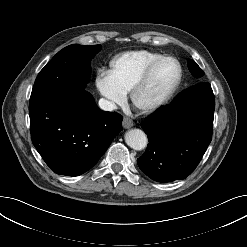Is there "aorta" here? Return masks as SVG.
I'll return each instance as SVG.
<instances>
[{
    "label": "aorta",
    "mask_w": 247,
    "mask_h": 247,
    "mask_svg": "<svg viewBox=\"0 0 247 247\" xmlns=\"http://www.w3.org/2000/svg\"><path fill=\"white\" fill-rule=\"evenodd\" d=\"M125 142L134 150H142L147 146L146 134L140 129H132L126 132Z\"/></svg>",
    "instance_id": "obj_1"
}]
</instances>
